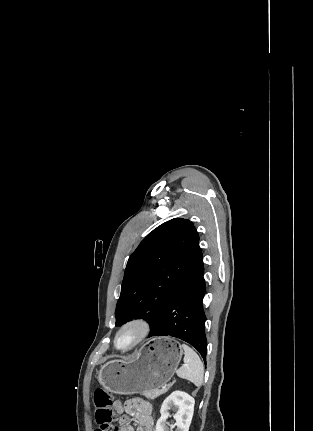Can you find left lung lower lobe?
Wrapping results in <instances>:
<instances>
[{"label": "left lung lower lobe", "instance_id": "left-lung-lower-lobe-1", "mask_svg": "<svg viewBox=\"0 0 313 431\" xmlns=\"http://www.w3.org/2000/svg\"><path fill=\"white\" fill-rule=\"evenodd\" d=\"M203 261L194 275L169 299L151 326V336H173L191 344L206 361Z\"/></svg>", "mask_w": 313, "mask_h": 431}]
</instances>
